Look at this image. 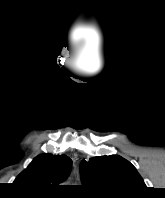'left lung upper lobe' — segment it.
I'll list each match as a JSON object with an SVG mask.
<instances>
[{
  "mask_svg": "<svg viewBox=\"0 0 165 198\" xmlns=\"http://www.w3.org/2000/svg\"><path fill=\"white\" fill-rule=\"evenodd\" d=\"M80 174L83 184L103 198H137L146 189L135 167L117 155L83 160Z\"/></svg>",
  "mask_w": 165,
  "mask_h": 198,
  "instance_id": "obj_1",
  "label": "left lung upper lobe"
}]
</instances>
